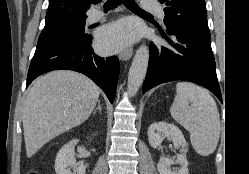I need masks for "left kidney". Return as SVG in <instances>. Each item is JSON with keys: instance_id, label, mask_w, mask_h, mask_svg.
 Returning a JSON list of instances; mask_svg holds the SVG:
<instances>
[{"instance_id": "left-kidney-1", "label": "left kidney", "mask_w": 249, "mask_h": 174, "mask_svg": "<svg viewBox=\"0 0 249 174\" xmlns=\"http://www.w3.org/2000/svg\"><path fill=\"white\" fill-rule=\"evenodd\" d=\"M164 138L171 140L176 149L180 148L181 154H178L175 161L161 157L157 164L159 174H189L186 158L188 148L182 131L174 124L166 122H157L149 126L148 140L151 147H159ZM174 164H179L180 168L171 169V165Z\"/></svg>"}]
</instances>
